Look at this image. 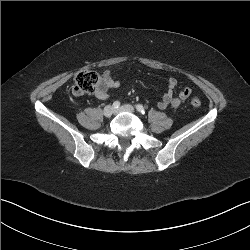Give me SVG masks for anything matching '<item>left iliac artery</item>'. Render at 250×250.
Returning a JSON list of instances; mask_svg holds the SVG:
<instances>
[{
    "instance_id": "left-iliac-artery-1",
    "label": "left iliac artery",
    "mask_w": 250,
    "mask_h": 250,
    "mask_svg": "<svg viewBox=\"0 0 250 250\" xmlns=\"http://www.w3.org/2000/svg\"><path fill=\"white\" fill-rule=\"evenodd\" d=\"M136 109H137L140 113L145 114V109H144V107H143L141 104H137V105H136Z\"/></svg>"
}]
</instances>
